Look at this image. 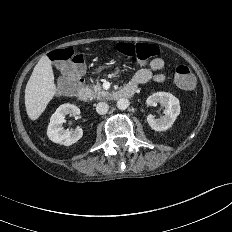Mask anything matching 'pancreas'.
<instances>
[{
  "mask_svg": "<svg viewBox=\"0 0 232 232\" xmlns=\"http://www.w3.org/2000/svg\"><path fill=\"white\" fill-rule=\"evenodd\" d=\"M90 98L94 99H102L104 97H107L109 95V92L102 89L101 84L97 83L93 86H90Z\"/></svg>",
  "mask_w": 232,
  "mask_h": 232,
  "instance_id": "1",
  "label": "pancreas"
}]
</instances>
